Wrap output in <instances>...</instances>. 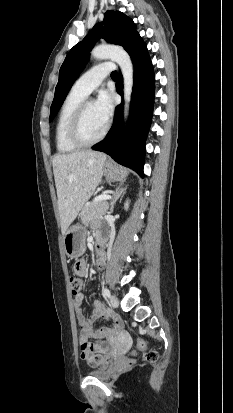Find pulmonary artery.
<instances>
[{
    "mask_svg": "<svg viewBox=\"0 0 233 413\" xmlns=\"http://www.w3.org/2000/svg\"><path fill=\"white\" fill-rule=\"evenodd\" d=\"M113 69L114 66L112 63L96 65L82 74L76 80L72 89L87 96L101 84L103 79L111 73Z\"/></svg>",
    "mask_w": 233,
    "mask_h": 413,
    "instance_id": "obj_1",
    "label": "pulmonary artery"
}]
</instances>
